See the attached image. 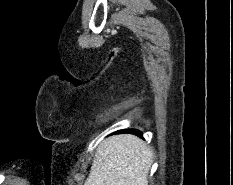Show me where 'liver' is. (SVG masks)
<instances>
[{
  "label": "liver",
  "instance_id": "liver-1",
  "mask_svg": "<svg viewBox=\"0 0 233 185\" xmlns=\"http://www.w3.org/2000/svg\"><path fill=\"white\" fill-rule=\"evenodd\" d=\"M152 158V149L137 136H111L98 146L84 185H148Z\"/></svg>",
  "mask_w": 233,
  "mask_h": 185
}]
</instances>
